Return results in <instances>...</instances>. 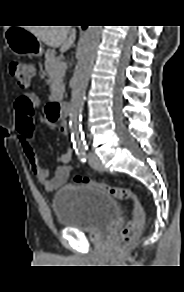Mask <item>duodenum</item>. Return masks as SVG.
<instances>
[{"label":"duodenum","mask_w":184,"mask_h":292,"mask_svg":"<svg viewBox=\"0 0 184 292\" xmlns=\"http://www.w3.org/2000/svg\"><path fill=\"white\" fill-rule=\"evenodd\" d=\"M69 105L64 100L51 102L46 108V114L53 117L55 120H65L69 115Z\"/></svg>","instance_id":"1"}]
</instances>
